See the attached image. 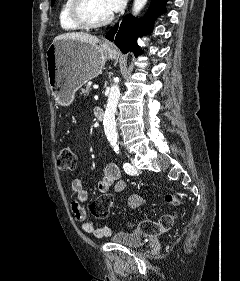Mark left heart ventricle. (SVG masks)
Instances as JSON below:
<instances>
[{
    "instance_id": "1",
    "label": "left heart ventricle",
    "mask_w": 240,
    "mask_h": 281,
    "mask_svg": "<svg viewBox=\"0 0 240 281\" xmlns=\"http://www.w3.org/2000/svg\"><path fill=\"white\" fill-rule=\"evenodd\" d=\"M90 10L95 20L104 19L111 14L105 0H90Z\"/></svg>"
}]
</instances>
